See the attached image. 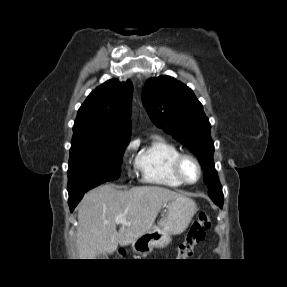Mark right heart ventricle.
<instances>
[{"label": "right heart ventricle", "instance_id": "e07e8e85", "mask_svg": "<svg viewBox=\"0 0 287 287\" xmlns=\"http://www.w3.org/2000/svg\"><path fill=\"white\" fill-rule=\"evenodd\" d=\"M180 154L182 152L175 144L155 136L138 152L135 167L146 183L172 188L180 187L183 184L173 172L174 161Z\"/></svg>", "mask_w": 287, "mask_h": 287}]
</instances>
